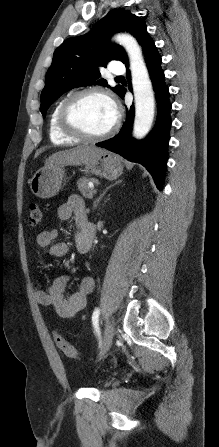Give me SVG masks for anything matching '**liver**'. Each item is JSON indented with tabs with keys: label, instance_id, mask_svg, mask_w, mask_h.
I'll return each mask as SVG.
<instances>
[{
	"label": "liver",
	"instance_id": "1",
	"mask_svg": "<svg viewBox=\"0 0 219 447\" xmlns=\"http://www.w3.org/2000/svg\"><path fill=\"white\" fill-rule=\"evenodd\" d=\"M105 150L94 146L81 145L75 148L58 151L45 161V166L50 165H86L93 161L98 155Z\"/></svg>",
	"mask_w": 219,
	"mask_h": 447
}]
</instances>
